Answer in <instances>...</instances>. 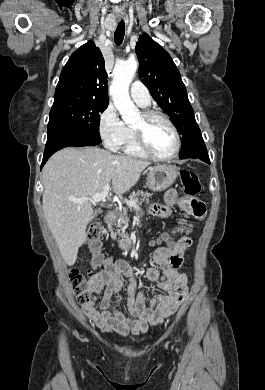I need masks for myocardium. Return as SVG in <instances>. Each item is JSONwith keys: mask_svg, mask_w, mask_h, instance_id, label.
I'll return each instance as SVG.
<instances>
[{"mask_svg": "<svg viewBox=\"0 0 265 390\" xmlns=\"http://www.w3.org/2000/svg\"><path fill=\"white\" fill-rule=\"evenodd\" d=\"M142 118L144 120V123H149L155 119H159V120H162L163 122H165L170 127V129L172 130V132L174 134L175 147H174L173 152L170 155L160 156V155L156 154L150 148V146L147 142V139H146L144 129L134 127L133 130H134L136 140H137V143H138L140 149L148 157H150L154 160H157V161L167 162V161H171V160L175 159L178 156L180 149H181V137H180V133H179L177 127L175 126V124L163 113L158 112V111H153V110L144 111L142 113Z\"/></svg>", "mask_w": 265, "mask_h": 390, "instance_id": "f54148a6", "label": "myocardium"}]
</instances>
